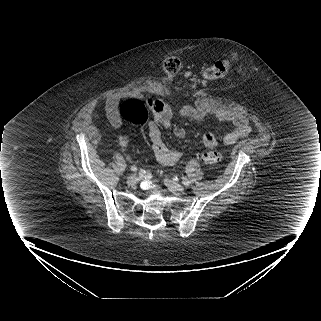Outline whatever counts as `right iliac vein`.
Returning a JSON list of instances; mask_svg holds the SVG:
<instances>
[{"mask_svg":"<svg viewBox=\"0 0 321 321\" xmlns=\"http://www.w3.org/2000/svg\"><path fill=\"white\" fill-rule=\"evenodd\" d=\"M137 182L138 178L135 175H132L127 179V183L131 186H134Z\"/></svg>","mask_w":321,"mask_h":321,"instance_id":"obj_1","label":"right iliac vein"}]
</instances>
